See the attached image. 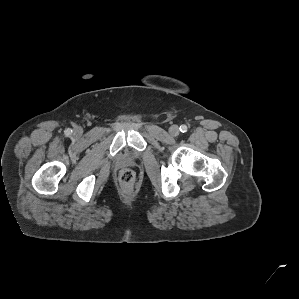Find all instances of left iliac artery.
Segmentation results:
<instances>
[{"mask_svg":"<svg viewBox=\"0 0 299 299\" xmlns=\"http://www.w3.org/2000/svg\"><path fill=\"white\" fill-rule=\"evenodd\" d=\"M187 126L186 125H181L180 126V131L182 132V133H185V132H187Z\"/></svg>","mask_w":299,"mask_h":299,"instance_id":"44dca946","label":"left iliac artery"}]
</instances>
